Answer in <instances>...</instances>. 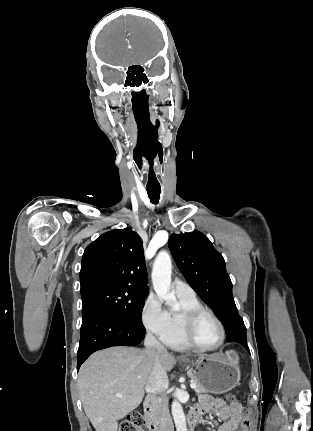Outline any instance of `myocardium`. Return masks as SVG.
Returning a JSON list of instances; mask_svg holds the SVG:
<instances>
[{
  "label": "myocardium",
  "mask_w": 313,
  "mask_h": 431,
  "mask_svg": "<svg viewBox=\"0 0 313 431\" xmlns=\"http://www.w3.org/2000/svg\"><path fill=\"white\" fill-rule=\"evenodd\" d=\"M204 315L210 316L216 322L220 330L219 342L216 345L211 347L200 345L199 343L196 342L194 338L195 327L199 319ZM183 336L185 341L191 348H194L200 351H214L219 349L224 344L225 338H226V332H225L223 323L212 310L205 307H200L185 313L184 319H183Z\"/></svg>",
  "instance_id": "1"
}]
</instances>
